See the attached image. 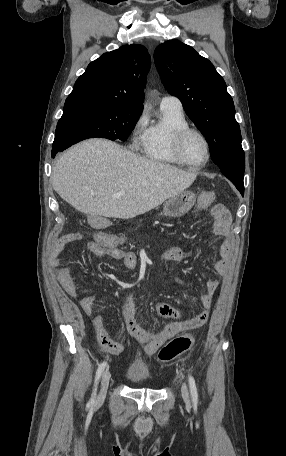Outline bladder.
Returning a JSON list of instances; mask_svg holds the SVG:
<instances>
[{
  "label": "bladder",
  "mask_w": 286,
  "mask_h": 456,
  "mask_svg": "<svg viewBox=\"0 0 286 456\" xmlns=\"http://www.w3.org/2000/svg\"><path fill=\"white\" fill-rule=\"evenodd\" d=\"M127 379L132 386H139L148 382V373L144 364L133 362L127 371Z\"/></svg>",
  "instance_id": "1"
}]
</instances>
